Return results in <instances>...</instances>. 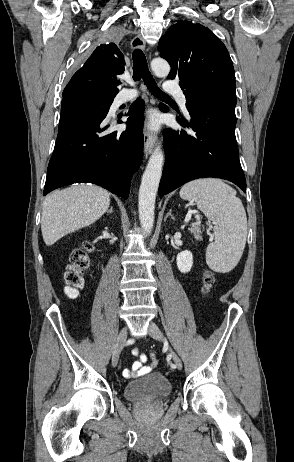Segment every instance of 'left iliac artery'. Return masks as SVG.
Wrapping results in <instances>:
<instances>
[{
	"label": "left iliac artery",
	"instance_id": "left-iliac-artery-1",
	"mask_svg": "<svg viewBox=\"0 0 294 462\" xmlns=\"http://www.w3.org/2000/svg\"><path fill=\"white\" fill-rule=\"evenodd\" d=\"M166 358H167V360H168V361H167V364H168V365H171V368H176V366H175L174 364H172V361H171L172 358H173V357H172V353H167V357H166Z\"/></svg>",
	"mask_w": 294,
	"mask_h": 462
}]
</instances>
